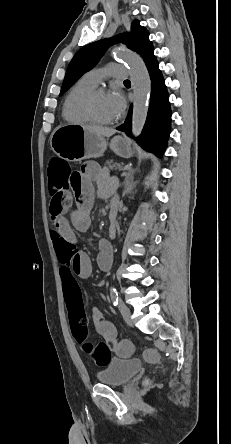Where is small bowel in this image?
Masks as SVG:
<instances>
[{
  "instance_id": "c3829d8e",
  "label": "small bowel",
  "mask_w": 231,
  "mask_h": 444,
  "mask_svg": "<svg viewBox=\"0 0 231 444\" xmlns=\"http://www.w3.org/2000/svg\"><path fill=\"white\" fill-rule=\"evenodd\" d=\"M94 183L98 195L102 198L111 196L116 189V182L106 170L95 163L87 162L78 172L77 178L69 191H63L58 209H50L51 237L58 261L61 263L60 277L66 297L79 296L80 290L75 276L87 278L92 271L90 258L77 247L71 226L79 231H85L89 228ZM114 203L116 202L114 201ZM70 210V216L67 218L66 215ZM110 234H114V229L110 228ZM99 249L97 263L102 270L108 271L113 261L112 246L109 241L101 240ZM91 318L99 335L108 342L116 341L117 333L114 325L104 318L99 309L92 308Z\"/></svg>"
}]
</instances>
